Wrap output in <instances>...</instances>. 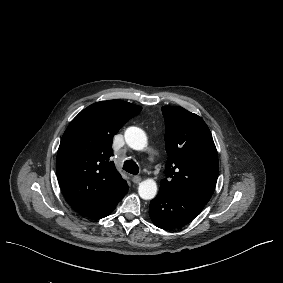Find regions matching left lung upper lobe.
Segmentation results:
<instances>
[{
	"label": "left lung upper lobe",
	"instance_id": "5c2ea615",
	"mask_svg": "<svg viewBox=\"0 0 283 283\" xmlns=\"http://www.w3.org/2000/svg\"><path fill=\"white\" fill-rule=\"evenodd\" d=\"M168 160L160 190L206 204L216 186L218 154L211 132L198 115L164 106Z\"/></svg>",
	"mask_w": 283,
	"mask_h": 283
}]
</instances>
